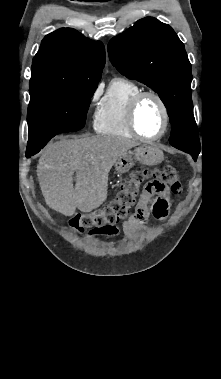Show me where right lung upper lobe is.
<instances>
[{
	"label": "right lung upper lobe",
	"instance_id": "right-lung-upper-lobe-1",
	"mask_svg": "<svg viewBox=\"0 0 221 379\" xmlns=\"http://www.w3.org/2000/svg\"><path fill=\"white\" fill-rule=\"evenodd\" d=\"M105 65V48L72 28L44 37L32 63L30 95L76 85L97 86Z\"/></svg>",
	"mask_w": 221,
	"mask_h": 379
}]
</instances>
